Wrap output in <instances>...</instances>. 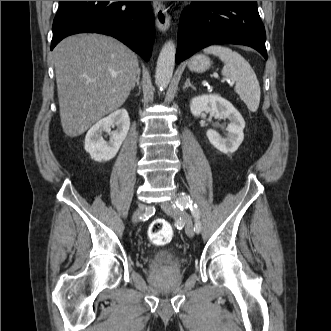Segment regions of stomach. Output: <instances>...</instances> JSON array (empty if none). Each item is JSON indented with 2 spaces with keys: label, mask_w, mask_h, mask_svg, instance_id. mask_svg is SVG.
<instances>
[{
  "label": "stomach",
  "mask_w": 331,
  "mask_h": 331,
  "mask_svg": "<svg viewBox=\"0 0 331 331\" xmlns=\"http://www.w3.org/2000/svg\"><path fill=\"white\" fill-rule=\"evenodd\" d=\"M210 65V58L204 54H197L193 56L188 62L189 69L198 73H202L208 70Z\"/></svg>",
  "instance_id": "obj_1"
}]
</instances>
